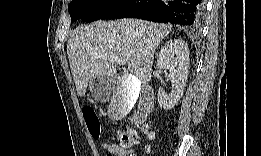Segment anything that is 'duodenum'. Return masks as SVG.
Masks as SVG:
<instances>
[{"instance_id":"410a0bca","label":"duodenum","mask_w":261,"mask_h":156,"mask_svg":"<svg viewBox=\"0 0 261 156\" xmlns=\"http://www.w3.org/2000/svg\"><path fill=\"white\" fill-rule=\"evenodd\" d=\"M153 97L152 91L146 89L140 103V115H146L152 109Z\"/></svg>"}]
</instances>
